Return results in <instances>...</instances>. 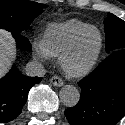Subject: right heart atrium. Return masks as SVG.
<instances>
[{
  "mask_svg": "<svg viewBox=\"0 0 125 125\" xmlns=\"http://www.w3.org/2000/svg\"><path fill=\"white\" fill-rule=\"evenodd\" d=\"M33 58L39 62H49L53 55L48 50L43 37H34L31 42Z\"/></svg>",
  "mask_w": 125,
  "mask_h": 125,
  "instance_id": "right-heart-atrium-1",
  "label": "right heart atrium"
}]
</instances>
